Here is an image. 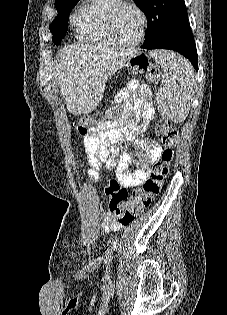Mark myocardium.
I'll use <instances>...</instances> for the list:
<instances>
[{
    "label": "myocardium",
    "instance_id": "obj_1",
    "mask_svg": "<svg viewBox=\"0 0 227 315\" xmlns=\"http://www.w3.org/2000/svg\"><path fill=\"white\" fill-rule=\"evenodd\" d=\"M122 6H129L133 8L139 14L141 18V29H140L139 36L135 41L128 44L118 41L116 38L115 30H114L115 18L119 9ZM105 25H106L107 35L112 44L125 47V48H134L140 45L145 37V33L148 26V17L146 13L144 12V10L135 2L131 0H114V2L108 7Z\"/></svg>",
    "mask_w": 227,
    "mask_h": 315
}]
</instances>
